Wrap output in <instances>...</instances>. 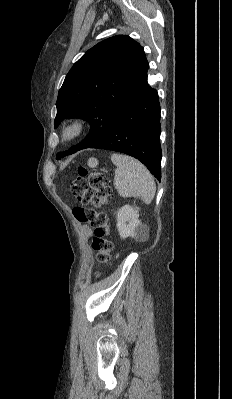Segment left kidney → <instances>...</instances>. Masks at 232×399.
<instances>
[{"label": "left kidney", "mask_w": 232, "mask_h": 399, "mask_svg": "<svg viewBox=\"0 0 232 399\" xmlns=\"http://www.w3.org/2000/svg\"><path fill=\"white\" fill-rule=\"evenodd\" d=\"M120 237H135L141 239L147 231V225H143L139 219L137 207L132 205H123L117 213V223Z\"/></svg>", "instance_id": "5707ae66"}]
</instances>
